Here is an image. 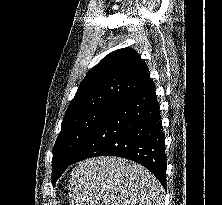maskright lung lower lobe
Masks as SVG:
<instances>
[{"instance_id":"1","label":"right lung lower lobe","mask_w":222,"mask_h":205,"mask_svg":"<svg viewBox=\"0 0 222 205\" xmlns=\"http://www.w3.org/2000/svg\"><path fill=\"white\" fill-rule=\"evenodd\" d=\"M159 104L153 82L112 107L96 125L70 165L95 156H117L150 170L166 187V155Z\"/></svg>"}]
</instances>
